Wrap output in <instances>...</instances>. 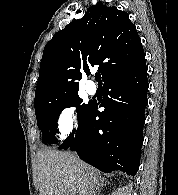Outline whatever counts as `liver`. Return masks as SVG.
<instances>
[{
  "instance_id": "1",
  "label": "liver",
  "mask_w": 178,
  "mask_h": 195,
  "mask_svg": "<svg viewBox=\"0 0 178 195\" xmlns=\"http://www.w3.org/2000/svg\"><path fill=\"white\" fill-rule=\"evenodd\" d=\"M102 177L94 167L68 152L37 153L39 195H96Z\"/></svg>"
}]
</instances>
